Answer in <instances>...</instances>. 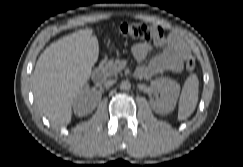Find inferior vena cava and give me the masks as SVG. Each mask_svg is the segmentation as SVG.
Listing matches in <instances>:
<instances>
[{
    "label": "inferior vena cava",
    "instance_id": "1",
    "mask_svg": "<svg viewBox=\"0 0 243 167\" xmlns=\"http://www.w3.org/2000/svg\"><path fill=\"white\" fill-rule=\"evenodd\" d=\"M115 83V80L109 79L104 82L105 87H110Z\"/></svg>",
    "mask_w": 243,
    "mask_h": 167
}]
</instances>
